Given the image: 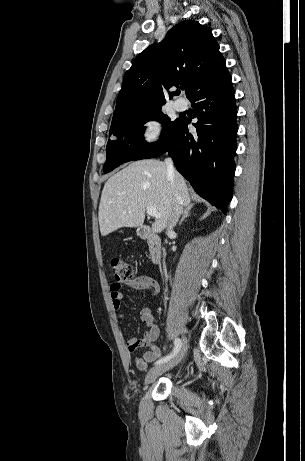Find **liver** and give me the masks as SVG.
<instances>
[{
	"label": "liver",
	"instance_id": "6515ba94",
	"mask_svg": "<svg viewBox=\"0 0 305 461\" xmlns=\"http://www.w3.org/2000/svg\"><path fill=\"white\" fill-rule=\"evenodd\" d=\"M175 188L167 176L165 163L159 160H141L110 177L104 185L98 212L100 232L107 236L122 227H139L145 219V209L152 206L161 217L152 225L154 233L168 226V218L176 199L182 205L190 204L184 178L175 172Z\"/></svg>",
	"mask_w": 305,
	"mask_h": 461
}]
</instances>
